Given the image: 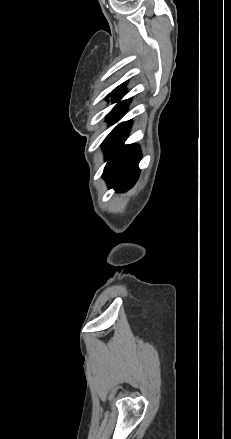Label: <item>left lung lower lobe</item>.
I'll use <instances>...</instances> for the list:
<instances>
[{
    "mask_svg": "<svg viewBox=\"0 0 231 439\" xmlns=\"http://www.w3.org/2000/svg\"><path fill=\"white\" fill-rule=\"evenodd\" d=\"M130 100H124L116 105L107 115L113 124L118 121L129 105ZM132 123L127 121L115 127L103 142L107 164L103 177L110 188L126 191L136 182L139 174L138 163L141 151L138 145H123Z\"/></svg>",
    "mask_w": 231,
    "mask_h": 439,
    "instance_id": "1",
    "label": "left lung lower lobe"
}]
</instances>
